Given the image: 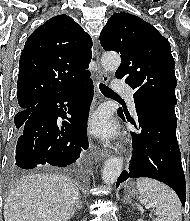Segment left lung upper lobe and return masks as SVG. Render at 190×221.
<instances>
[{"label": "left lung upper lobe", "instance_id": "1", "mask_svg": "<svg viewBox=\"0 0 190 221\" xmlns=\"http://www.w3.org/2000/svg\"><path fill=\"white\" fill-rule=\"evenodd\" d=\"M100 43L104 50L121 55L115 75L135 89L134 102L156 100L176 105L175 62L169 42L155 27L132 14H113L101 32Z\"/></svg>", "mask_w": 190, "mask_h": 221}]
</instances>
